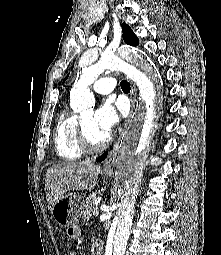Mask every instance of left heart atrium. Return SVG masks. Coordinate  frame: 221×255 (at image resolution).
<instances>
[{"mask_svg": "<svg viewBox=\"0 0 221 255\" xmlns=\"http://www.w3.org/2000/svg\"><path fill=\"white\" fill-rule=\"evenodd\" d=\"M119 120L117 111L110 103H104L94 114L96 127L107 136L118 124Z\"/></svg>", "mask_w": 221, "mask_h": 255, "instance_id": "1", "label": "left heart atrium"}]
</instances>
